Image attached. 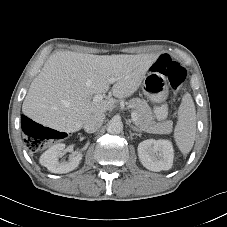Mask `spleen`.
<instances>
[{
	"label": "spleen",
	"instance_id": "obj_1",
	"mask_svg": "<svg viewBox=\"0 0 227 227\" xmlns=\"http://www.w3.org/2000/svg\"><path fill=\"white\" fill-rule=\"evenodd\" d=\"M196 136V110L193 99L186 93L178 109V121L174 130V140L183 154L191 151Z\"/></svg>",
	"mask_w": 227,
	"mask_h": 227
}]
</instances>
